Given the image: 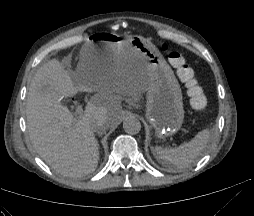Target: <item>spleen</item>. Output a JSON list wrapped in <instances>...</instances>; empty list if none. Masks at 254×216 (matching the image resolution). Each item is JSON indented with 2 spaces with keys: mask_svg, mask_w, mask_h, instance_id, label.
I'll list each match as a JSON object with an SVG mask.
<instances>
[{
  "mask_svg": "<svg viewBox=\"0 0 254 216\" xmlns=\"http://www.w3.org/2000/svg\"><path fill=\"white\" fill-rule=\"evenodd\" d=\"M211 137V130L200 131L193 139L177 148L155 147L152 152L164 166L173 170L187 168L205 149Z\"/></svg>",
  "mask_w": 254,
  "mask_h": 216,
  "instance_id": "obj_1",
  "label": "spleen"
}]
</instances>
